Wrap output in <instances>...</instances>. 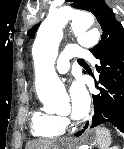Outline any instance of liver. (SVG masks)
I'll return each instance as SVG.
<instances>
[{
    "label": "liver",
    "instance_id": "liver-1",
    "mask_svg": "<svg viewBox=\"0 0 124 149\" xmlns=\"http://www.w3.org/2000/svg\"><path fill=\"white\" fill-rule=\"evenodd\" d=\"M26 149H56V146L52 141L37 140V141H30L26 145Z\"/></svg>",
    "mask_w": 124,
    "mask_h": 149
}]
</instances>
